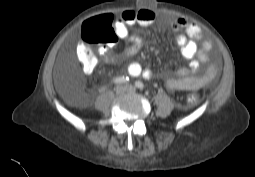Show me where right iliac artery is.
<instances>
[{
	"mask_svg": "<svg viewBox=\"0 0 255 177\" xmlns=\"http://www.w3.org/2000/svg\"><path fill=\"white\" fill-rule=\"evenodd\" d=\"M128 81H129V78L127 76L126 77H124V76L117 77V78L114 79L115 84H122V83H126Z\"/></svg>",
	"mask_w": 255,
	"mask_h": 177,
	"instance_id": "right-iliac-artery-1",
	"label": "right iliac artery"
}]
</instances>
